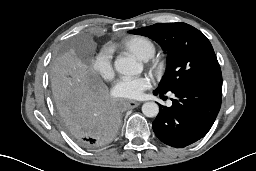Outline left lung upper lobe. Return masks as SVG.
I'll list each match as a JSON object with an SVG mask.
<instances>
[{
    "instance_id": "obj_1",
    "label": "left lung upper lobe",
    "mask_w": 256,
    "mask_h": 171,
    "mask_svg": "<svg viewBox=\"0 0 256 171\" xmlns=\"http://www.w3.org/2000/svg\"><path fill=\"white\" fill-rule=\"evenodd\" d=\"M129 33L156 41L167 52V69L156 91L166 93L186 84L222 87V73L206 36L186 23H157Z\"/></svg>"
}]
</instances>
